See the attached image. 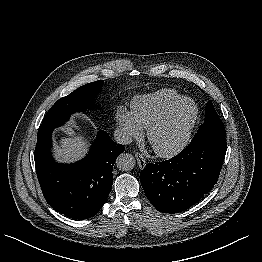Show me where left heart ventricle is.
Returning a JSON list of instances; mask_svg holds the SVG:
<instances>
[{
    "mask_svg": "<svg viewBox=\"0 0 262 262\" xmlns=\"http://www.w3.org/2000/svg\"><path fill=\"white\" fill-rule=\"evenodd\" d=\"M194 113L191 102L184 103L171 118L153 135V145L165 150L173 147L181 138Z\"/></svg>",
    "mask_w": 262,
    "mask_h": 262,
    "instance_id": "1",
    "label": "left heart ventricle"
}]
</instances>
